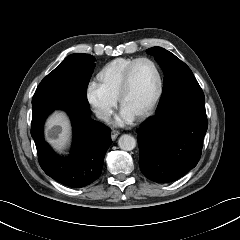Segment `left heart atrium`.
<instances>
[{"label":"left heart atrium","instance_id":"left-heart-atrium-1","mask_svg":"<svg viewBox=\"0 0 240 240\" xmlns=\"http://www.w3.org/2000/svg\"><path fill=\"white\" fill-rule=\"evenodd\" d=\"M134 116L131 115L130 113H128L126 110H124L123 108L120 110L119 114H117L114 118V123L116 125H125V124H129L134 120Z\"/></svg>","mask_w":240,"mask_h":240}]
</instances>
